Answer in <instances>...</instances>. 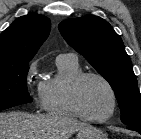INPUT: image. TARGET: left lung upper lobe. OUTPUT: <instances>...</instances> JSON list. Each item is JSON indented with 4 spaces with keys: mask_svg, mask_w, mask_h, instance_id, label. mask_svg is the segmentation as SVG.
I'll list each match as a JSON object with an SVG mask.
<instances>
[{
    "mask_svg": "<svg viewBox=\"0 0 141 139\" xmlns=\"http://www.w3.org/2000/svg\"><path fill=\"white\" fill-rule=\"evenodd\" d=\"M67 43L82 54L111 85L122 122L141 126V94L121 37L98 16L67 19L59 24Z\"/></svg>",
    "mask_w": 141,
    "mask_h": 139,
    "instance_id": "left-lung-upper-lobe-1",
    "label": "left lung upper lobe"
}]
</instances>
